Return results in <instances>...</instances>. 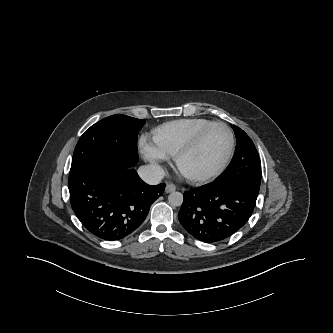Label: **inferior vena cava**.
I'll return each mask as SVG.
<instances>
[{"mask_svg": "<svg viewBox=\"0 0 333 333\" xmlns=\"http://www.w3.org/2000/svg\"><path fill=\"white\" fill-rule=\"evenodd\" d=\"M140 178L147 184L156 185L163 179L165 172L161 166L150 164L138 169Z\"/></svg>", "mask_w": 333, "mask_h": 333, "instance_id": "inferior-vena-cava-1", "label": "inferior vena cava"}]
</instances>
